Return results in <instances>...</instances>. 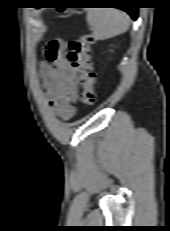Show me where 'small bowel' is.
I'll use <instances>...</instances> for the list:
<instances>
[{
	"label": "small bowel",
	"instance_id": "small-bowel-1",
	"mask_svg": "<svg viewBox=\"0 0 170 231\" xmlns=\"http://www.w3.org/2000/svg\"><path fill=\"white\" fill-rule=\"evenodd\" d=\"M67 45L55 39L46 48V60L42 66V77L52 110L64 119L75 114L74 103L78 97L76 73L67 58Z\"/></svg>",
	"mask_w": 170,
	"mask_h": 231
}]
</instances>
